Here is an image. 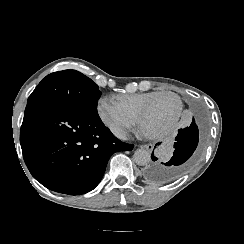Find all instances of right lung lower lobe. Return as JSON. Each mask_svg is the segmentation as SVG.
<instances>
[{
	"mask_svg": "<svg viewBox=\"0 0 244 244\" xmlns=\"http://www.w3.org/2000/svg\"><path fill=\"white\" fill-rule=\"evenodd\" d=\"M20 143L32 176L69 195L93 190L111 155L134 147L118 140L98 114L50 102L27 103Z\"/></svg>",
	"mask_w": 244,
	"mask_h": 244,
	"instance_id": "obj_1",
	"label": "right lung lower lobe"
}]
</instances>
